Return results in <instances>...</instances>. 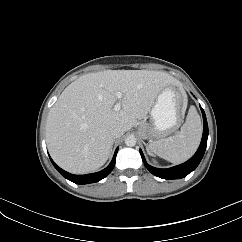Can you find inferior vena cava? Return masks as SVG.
Here are the masks:
<instances>
[{"label": "inferior vena cava", "instance_id": "obj_1", "mask_svg": "<svg viewBox=\"0 0 242 242\" xmlns=\"http://www.w3.org/2000/svg\"><path fill=\"white\" fill-rule=\"evenodd\" d=\"M109 133L113 139H117L124 134V130L120 126H114L110 129Z\"/></svg>", "mask_w": 242, "mask_h": 242}]
</instances>
